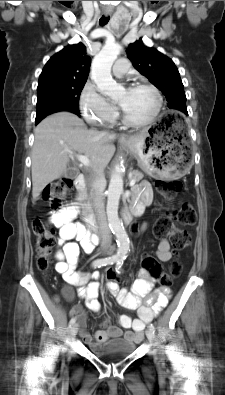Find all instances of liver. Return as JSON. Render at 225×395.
<instances>
[{
	"mask_svg": "<svg viewBox=\"0 0 225 395\" xmlns=\"http://www.w3.org/2000/svg\"><path fill=\"white\" fill-rule=\"evenodd\" d=\"M34 133L31 164L33 201L47 184L65 174L73 152L85 154L93 171L104 169L115 153L112 142L116 134L88 130L82 119L69 112L46 117Z\"/></svg>",
	"mask_w": 225,
	"mask_h": 395,
	"instance_id": "obj_1",
	"label": "liver"
}]
</instances>
